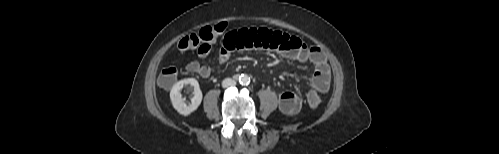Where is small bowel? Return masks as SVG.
Wrapping results in <instances>:
<instances>
[{"instance_id":"small-bowel-1","label":"small bowel","mask_w":499,"mask_h":154,"mask_svg":"<svg viewBox=\"0 0 499 154\" xmlns=\"http://www.w3.org/2000/svg\"><path fill=\"white\" fill-rule=\"evenodd\" d=\"M263 49L279 53L283 57L301 63L310 62L314 66L312 90L316 93H326L330 87L331 71L326 56L318 47L307 46L295 36L267 28H240L227 32L221 38V48L218 60L225 63L231 54L237 50ZM212 50V44L203 43L197 49L200 58H205ZM190 73H196L207 78L211 68L198 61H192L186 66ZM280 110L287 115H294L301 109L300 97L292 91H284L278 98Z\"/></svg>"}]
</instances>
